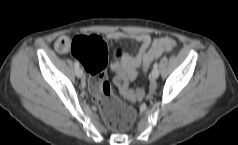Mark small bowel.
<instances>
[{"instance_id":"small-bowel-1","label":"small bowel","mask_w":238,"mask_h":145,"mask_svg":"<svg viewBox=\"0 0 238 145\" xmlns=\"http://www.w3.org/2000/svg\"><path fill=\"white\" fill-rule=\"evenodd\" d=\"M72 38L73 37H69V36L59 37L55 42L56 51L59 53H66V52L70 51L71 50L70 42H71ZM108 38L112 39V40H123L126 38H130V39H134L141 43V47L135 56H132L127 53L123 54L122 57L118 61L114 62L111 65L112 70H114V71L123 70L130 80H135L138 75L137 69L143 63V57H144L145 53L147 52L148 48L150 47V44H151L150 35H148L146 33H139V34L129 33V34H127V33H123L120 31H114V32H111L108 34ZM160 39H166L169 41V44L164 48L163 52L170 51L177 46L176 42L171 38L163 37ZM139 93H140V97H141V92H139Z\"/></svg>"}]
</instances>
